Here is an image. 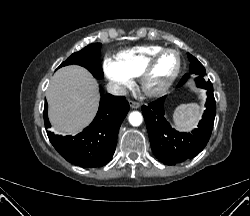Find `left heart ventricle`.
<instances>
[{"instance_id": "left-heart-ventricle-1", "label": "left heart ventricle", "mask_w": 250, "mask_h": 216, "mask_svg": "<svg viewBox=\"0 0 250 216\" xmlns=\"http://www.w3.org/2000/svg\"><path fill=\"white\" fill-rule=\"evenodd\" d=\"M177 63L174 53L162 55L147 78V87L152 90L161 88L175 72Z\"/></svg>"}]
</instances>
